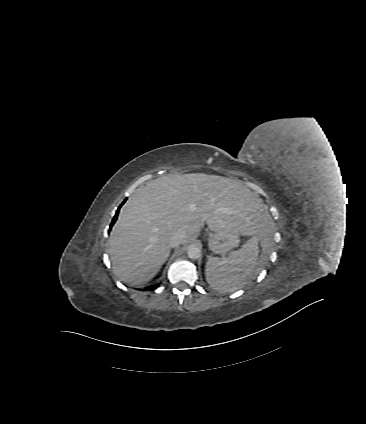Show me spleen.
I'll return each instance as SVG.
<instances>
[{
	"instance_id": "obj_1",
	"label": "spleen",
	"mask_w": 366,
	"mask_h": 424,
	"mask_svg": "<svg viewBox=\"0 0 366 424\" xmlns=\"http://www.w3.org/2000/svg\"><path fill=\"white\" fill-rule=\"evenodd\" d=\"M258 243V238L253 236L227 257L210 258L205 268L208 284L220 292H234L246 285L255 273L259 255Z\"/></svg>"
}]
</instances>
